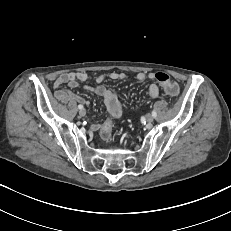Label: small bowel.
Masks as SVG:
<instances>
[{
  "label": "small bowel",
  "mask_w": 231,
  "mask_h": 231,
  "mask_svg": "<svg viewBox=\"0 0 231 231\" xmlns=\"http://www.w3.org/2000/svg\"><path fill=\"white\" fill-rule=\"evenodd\" d=\"M128 76L123 72H110L107 74H102L93 79L94 85H81L84 82L90 80L89 76L85 72H70L62 74L57 78L54 83V94L55 97L63 102L76 101L80 103L87 104V101L79 96L78 94L70 91L63 87L66 85L68 88H78L83 89L103 98L104 104L109 113V118L103 124H92L91 129L98 130L102 129L106 124H112V120L119 119L122 116V107L117 95L104 86L102 83L105 80H126ZM138 81H144L145 79L154 80L155 73H143L140 72L136 75ZM148 94L151 98H156L159 94V88L155 83H152L148 87Z\"/></svg>",
  "instance_id": "small-bowel-1"
}]
</instances>
